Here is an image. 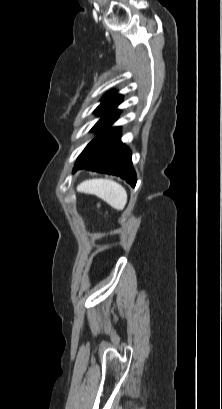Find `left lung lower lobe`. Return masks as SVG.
<instances>
[{
	"mask_svg": "<svg viewBox=\"0 0 222 409\" xmlns=\"http://www.w3.org/2000/svg\"><path fill=\"white\" fill-rule=\"evenodd\" d=\"M77 169L117 175L133 187L137 181L131 151L121 143L119 128H107L93 139L78 157Z\"/></svg>",
	"mask_w": 222,
	"mask_h": 409,
	"instance_id": "1",
	"label": "left lung lower lobe"
}]
</instances>
